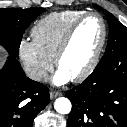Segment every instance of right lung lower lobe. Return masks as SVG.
I'll return each instance as SVG.
<instances>
[{"mask_svg":"<svg viewBox=\"0 0 127 127\" xmlns=\"http://www.w3.org/2000/svg\"><path fill=\"white\" fill-rule=\"evenodd\" d=\"M48 92L45 85L26 77L19 62L9 56L0 70V127H32L49 103Z\"/></svg>","mask_w":127,"mask_h":127,"instance_id":"obj_1","label":"right lung lower lobe"}]
</instances>
